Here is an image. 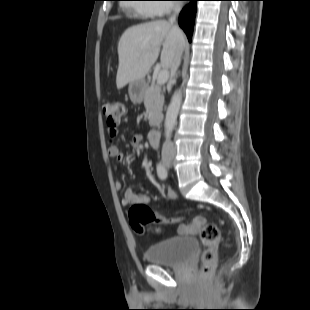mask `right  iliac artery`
Masks as SVG:
<instances>
[{
	"label": "right iliac artery",
	"instance_id": "82829eb1",
	"mask_svg": "<svg viewBox=\"0 0 310 310\" xmlns=\"http://www.w3.org/2000/svg\"><path fill=\"white\" fill-rule=\"evenodd\" d=\"M157 174H158V177H159L160 179H166V177H167V169H166V167H165L163 164H161V163H159V164L157 165Z\"/></svg>",
	"mask_w": 310,
	"mask_h": 310
}]
</instances>
